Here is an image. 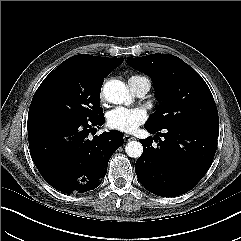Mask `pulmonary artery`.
<instances>
[{
    "mask_svg": "<svg viewBox=\"0 0 241 241\" xmlns=\"http://www.w3.org/2000/svg\"><path fill=\"white\" fill-rule=\"evenodd\" d=\"M132 91L138 96L143 97L147 94V92L150 90L151 84L150 81L145 79L137 82H131L129 83Z\"/></svg>",
    "mask_w": 241,
    "mask_h": 241,
    "instance_id": "1",
    "label": "pulmonary artery"
}]
</instances>
